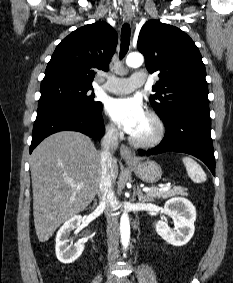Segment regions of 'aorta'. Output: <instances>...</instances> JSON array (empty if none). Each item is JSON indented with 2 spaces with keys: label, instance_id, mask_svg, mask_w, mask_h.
Segmentation results:
<instances>
[{
  "label": "aorta",
  "instance_id": "aorta-1",
  "mask_svg": "<svg viewBox=\"0 0 233 283\" xmlns=\"http://www.w3.org/2000/svg\"><path fill=\"white\" fill-rule=\"evenodd\" d=\"M143 61V55L140 53H130L126 58L127 66L132 68H137L141 66ZM120 234L122 245L124 248H127L130 241V222L129 216L126 212H123V214L121 215Z\"/></svg>",
  "mask_w": 233,
  "mask_h": 283
}]
</instances>
